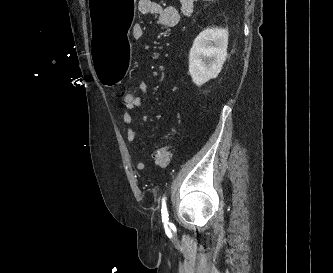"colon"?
Here are the masks:
<instances>
[{
    "label": "colon",
    "mask_w": 333,
    "mask_h": 273,
    "mask_svg": "<svg viewBox=\"0 0 333 273\" xmlns=\"http://www.w3.org/2000/svg\"><path fill=\"white\" fill-rule=\"evenodd\" d=\"M138 96L129 91L122 92V104L125 108H136ZM154 162L159 167H166L171 159V150L168 145L157 148L153 154Z\"/></svg>",
    "instance_id": "5ec220e1"
}]
</instances>
